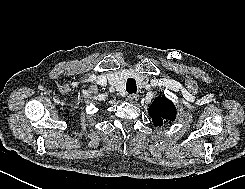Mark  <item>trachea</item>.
<instances>
[{
    "label": "trachea",
    "instance_id": "3493384b",
    "mask_svg": "<svg viewBox=\"0 0 245 189\" xmlns=\"http://www.w3.org/2000/svg\"><path fill=\"white\" fill-rule=\"evenodd\" d=\"M126 91L129 94L136 93L137 91V86H136V81L133 78H128L127 83H126Z\"/></svg>",
    "mask_w": 245,
    "mask_h": 189
}]
</instances>
